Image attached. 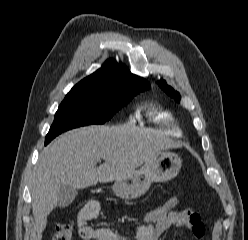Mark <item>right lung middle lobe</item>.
Wrapping results in <instances>:
<instances>
[{"instance_id": "right-lung-middle-lobe-1", "label": "right lung middle lobe", "mask_w": 248, "mask_h": 240, "mask_svg": "<svg viewBox=\"0 0 248 240\" xmlns=\"http://www.w3.org/2000/svg\"><path fill=\"white\" fill-rule=\"evenodd\" d=\"M149 86V83L133 80L114 88L71 90L55 114L45 144L64 131L105 123L123 105Z\"/></svg>"}]
</instances>
